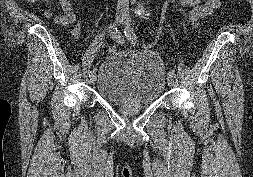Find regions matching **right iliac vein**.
Segmentation results:
<instances>
[{"label":"right iliac vein","mask_w":253,"mask_h":177,"mask_svg":"<svg viewBox=\"0 0 253 177\" xmlns=\"http://www.w3.org/2000/svg\"><path fill=\"white\" fill-rule=\"evenodd\" d=\"M116 18H117L118 23L123 24L125 22V10L122 8H119L116 13ZM89 77H90L89 79L90 83L93 84L96 80V74L92 73L89 75Z\"/></svg>","instance_id":"1"}]
</instances>
